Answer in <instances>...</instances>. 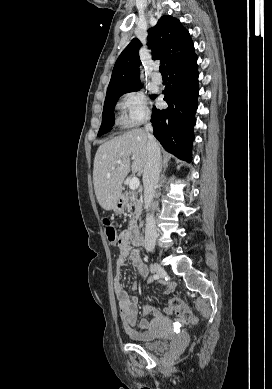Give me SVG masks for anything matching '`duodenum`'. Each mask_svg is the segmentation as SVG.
I'll return each mask as SVG.
<instances>
[{"instance_id":"410a0bca","label":"duodenum","mask_w":272,"mask_h":389,"mask_svg":"<svg viewBox=\"0 0 272 389\" xmlns=\"http://www.w3.org/2000/svg\"><path fill=\"white\" fill-rule=\"evenodd\" d=\"M127 201V197L124 196L122 199H121V202L122 203H125ZM128 235H129V239L130 241L132 242V244L134 246H141L142 245V237L140 235V231H139V228L138 227H132L129 232H128Z\"/></svg>"}]
</instances>
